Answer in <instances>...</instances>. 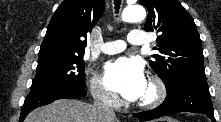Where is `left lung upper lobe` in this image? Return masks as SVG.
I'll return each mask as SVG.
<instances>
[{"mask_svg":"<svg viewBox=\"0 0 221 122\" xmlns=\"http://www.w3.org/2000/svg\"><path fill=\"white\" fill-rule=\"evenodd\" d=\"M149 11L146 31L160 33L152 55L151 68L164 82L174 88L185 79H206L199 33L190 14L178 0H140Z\"/></svg>","mask_w":221,"mask_h":122,"instance_id":"5c2ea615","label":"left lung upper lobe"}]
</instances>
